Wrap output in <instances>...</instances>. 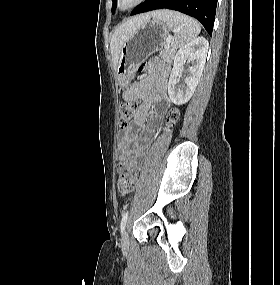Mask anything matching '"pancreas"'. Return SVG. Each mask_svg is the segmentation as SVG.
Wrapping results in <instances>:
<instances>
[{"label":"pancreas","instance_id":"cf45deb5","mask_svg":"<svg viewBox=\"0 0 280 285\" xmlns=\"http://www.w3.org/2000/svg\"><path fill=\"white\" fill-rule=\"evenodd\" d=\"M174 55H175V50L173 48L170 49V47L165 46V49L160 51V56L168 63H171L173 61Z\"/></svg>","mask_w":280,"mask_h":285}]
</instances>
